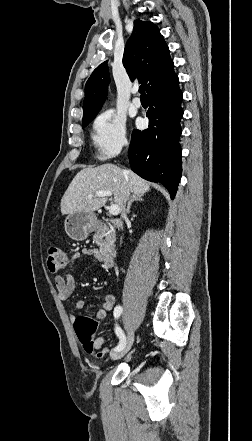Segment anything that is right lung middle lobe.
<instances>
[{
  "label": "right lung middle lobe",
  "mask_w": 252,
  "mask_h": 441,
  "mask_svg": "<svg viewBox=\"0 0 252 441\" xmlns=\"http://www.w3.org/2000/svg\"><path fill=\"white\" fill-rule=\"evenodd\" d=\"M92 120L93 119H91V120H89L87 122L82 123V128L86 127Z\"/></svg>",
  "instance_id": "1"
}]
</instances>
